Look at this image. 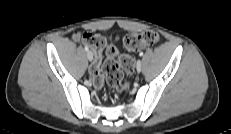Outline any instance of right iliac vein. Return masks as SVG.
<instances>
[{
	"mask_svg": "<svg viewBox=\"0 0 231 134\" xmlns=\"http://www.w3.org/2000/svg\"><path fill=\"white\" fill-rule=\"evenodd\" d=\"M86 56H87V59H88L89 61H92V60H93V53H92L91 51H87Z\"/></svg>",
	"mask_w": 231,
	"mask_h": 134,
	"instance_id": "obj_1",
	"label": "right iliac vein"
}]
</instances>
